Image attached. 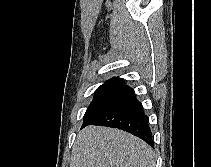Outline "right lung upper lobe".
Segmentation results:
<instances>
[{"label":"right lung upper lobe","mask_w":211,"mask_h":167,"mask_svg":"<svg viewBox=\"0 0 211 167\" xmlns=\"http://www.w3.org/2000/svg\"><path fill=\"white\" fill-rule=\"evenodd\" d=\"M109 81H123V79H122V78L117 77V78H112V79H110Z\"/></svg>","instance_id":"1"}]
</instances>
